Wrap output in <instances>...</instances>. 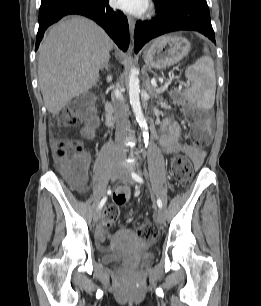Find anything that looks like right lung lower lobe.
I'll return each instance as SVG.
<instances>
[{
  "label": "right lung lower lobe",
  "instance_id": "obj_1",
  "mask_svg": "<svg viewBox=\"0 0 261 306\" xmlns=\"http://www.w3.org/2000/svg\"><path fill=\"white\" fill-rule=\"evenodd\" d=\"M109 0H41L39 29L36 38L37 50L45 30L63 16L81 14L93 19L126 51L129 45V26L126 16L108 5Z\"/></svg>",
  "mask_w": 261,
  "mask_h": 306
}]
</instances>
